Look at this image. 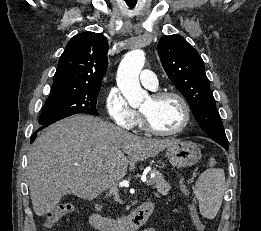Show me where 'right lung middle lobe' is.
Masks as SVG:
<instances>
[{
	"label": "right lung middle lobe",
	"mask_w": 261,
	"mask_h": 231,
	"mask_svg": "<svg viewBox=\"0 0 261 231\" xmlns=\"http://www.w3.org/2000/svg\"><path fill=\"white\" fill-rule=\"evenodd\" d=\"M100 88L51 89L39 124L46 125L77 113L98 115L96 101Z\"/></svg>",
	"instance_id": "obj_1"
}]
</instances>
